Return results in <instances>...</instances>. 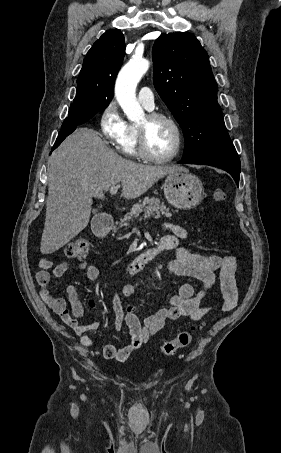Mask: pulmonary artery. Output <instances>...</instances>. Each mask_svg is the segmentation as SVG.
Wrapping results in <instances>:
<instances>
[{
	"mask_svg": "<svg viewBox=\"0 0 281 453\" xmlns=\"http://www.w3.org/2000/svg\"><path fill=\"white\" fill-rule=\"evenodd\" d=\"M138 101L142 103L148 110L154 108V96L151 93L149 87L145 86L140 89L138 93Z\"/></svg>",
	"mask_w": 281,
	"mask_h": 453,
	"instance_id": "e3ab8cb5",
	"label": "pulmonary artery"
}]
</instances>
